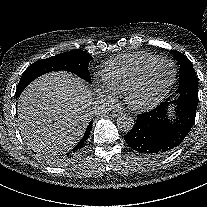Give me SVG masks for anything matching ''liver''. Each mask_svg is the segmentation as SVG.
Returning <instances> with one entry per match:
<instances>
[{
  "label": "liver",
  "instance_id": "liver-1",
  "mask_svg": "<svg viewBox=\"0 0 207 207\" xmlns=\"http://www.w3.org/2000/svg\"><path fill=\"white\" fill-rule=\"evenodd\" d=\"M88 85L66 71L46 73L32 81L18 99L21 135L33 150L64 154L77 145L97 108Z\"/></svg>",
  "mask_w": 207,
  "mask_h": 207
}]
</instances>
